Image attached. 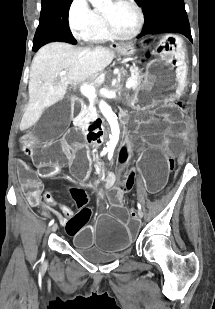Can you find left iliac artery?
Listing matches in <instances>:
<instances>
[{
  "instance_id": "1",
  "label": "left iliac artery",
  "mask_w": 215,
  "mask_h": 309,
  "mask_svg": "<svg viewBox=\"0 0 215 309\" xmlns=\"http://www.w3.org/2000/svg\"><path fill=\"white\" fill-rule=\"evenodd\" d=\"M112 156H113V153L108 154V159L111 160ZM137 206H138V212L141 213V214L143 215V211H142V206H141V204L138 203Z\"/></svg>"
}]
</instances>
